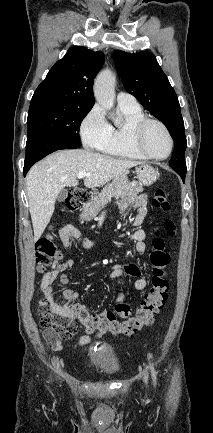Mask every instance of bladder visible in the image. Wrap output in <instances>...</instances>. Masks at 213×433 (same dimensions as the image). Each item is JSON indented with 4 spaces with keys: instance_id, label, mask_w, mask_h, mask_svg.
<instances>
[{
    "instance_id": "31cf9c89",
    "label": "bladder",
    "mask_w": 213,
    "mask_h": 433,
    "mask_svg": "<svg viewBox=\"0 0 213 433\" xmlns=\"http://www.w3.org/2000/svg\"><path fill=\"white\" fill-rule=\"evenodd\" d=\"M87 359L92 367L105 375H115L120 370L118 353L109 344L101 343L90 348Z\"/></svg>"
}]
</instances>
